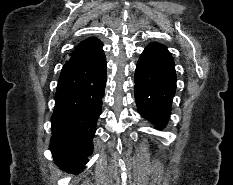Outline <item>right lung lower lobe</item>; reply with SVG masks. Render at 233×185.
Instances as JSON below:
<instances>
[{
    "label": "right lung lower lobe",
    "instance_id": "right-lung-lower-lobe-1",
    "mask_svg": "<svg viewBox=\"0 0 233 185\" xmlns=\"http://www.w3.org/2000/svg\"><path fill=\"white\" fill-rule=\"evenodd\" d=\"M106 65V58L98 62H67L61 71L51 117L50 149L67 172H79L93 151Z\"/></svg>",
    "mask_w": 233,
    "mask_h": 185
}]
</instances>
